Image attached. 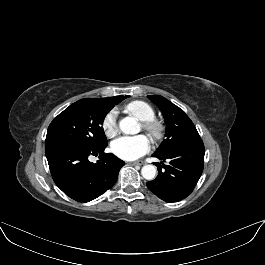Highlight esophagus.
Returning a JSON list of instances; mask_svg holds the SVG:
<instances>
[{
	"instance_id": "obj_1",
	"label": "esophagus",
	"mask_w": 265,
	"mask_h": 265,
	"mask_svg": "<svg viewBox=\"0 0 265 265\" xmlns=\"http://www.w3.org/2000/svg\"><path fill=\"white\" fill-rule=\"evenodd\" d=\"M131 165H139V166H141V165H143L144 164V162H142V161H137V162H132V163H130Z\"/></svg>"
}]
</instances>
